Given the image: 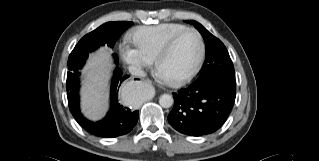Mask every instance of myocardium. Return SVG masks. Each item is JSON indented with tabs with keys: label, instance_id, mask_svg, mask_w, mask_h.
Returning a JSON list of instances; mask_svg holds the SVG:
<instances>
[{
	"label": "myocardium",
	"instance_id": "myocardium-1",
	"mask_svg": "<svg viewBox=\"0 0 319 161\" xmlns=\"http://www.w3.org/2000/svg\"><path fill=\"white\" fill-rule=\"evenodd\" d=\"M190 32L194 33L197 36L198 43H199V55H198V58L194 64L193 68L190 71H188L187 73L180 75V76H176V77H166V76L161 75L160 65H161L162 61L168 56V54L171 52V50L173 49V47L175 46L177 41L183 35L190 33ZM204 56H205V43H204V39H203L201 33L195 28H186V29L174 34L172 37H170L167 40V42L161 48V50L159 51V53L157 54V56L154 60V68H155V71L162 76V78L165 82H167L171 85H179V84H183V83L189 81L198 73V71L200 70V68L202 66Z\"/></svg>",
	"mask_w": 319,
	"mask_h": 161
}]
</instances>
